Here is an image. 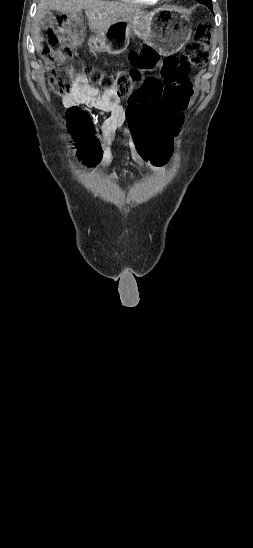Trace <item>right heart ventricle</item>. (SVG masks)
I'll use <instances>...</instances> for the list:
<instances>
[{"label":"right heart ventricle","mask_w":253,"mask_h":548,"mask_svg":"<svg viewBox=\"0 0 253 548\" xmlns=\"http://www.w3.org/2000/svg\"><path fill=\"white\" fill-rule=\"evenodd\" d=\"M123 2L137 5H155L159 0H120Z\"/></svg>","instance_id":"right-heart-ventricle-1"}]
</instances>
